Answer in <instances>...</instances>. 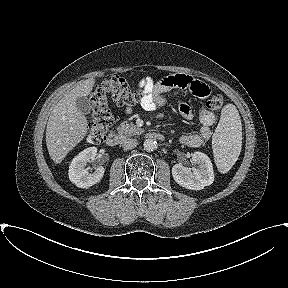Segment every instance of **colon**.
Wrapping results in <instances>:
<instances>
[{
	"label": "colon",
	"mask_w": 288,
	"mask_h": 288,
	"mask_svg": "<svg viewBox=\"0 0 288 288\" xmlns=\"http://www.w3.org/2000/svg\"><path fill=\"white\" fill-rule=\"evenodd\" d=\"M144 91L133 89L127 81L120 76H111L105 79L91 95L92 121L88 128V141L101 143L105 140L113 116L108 107V100L112 99L118 105L130 107L142 100ZM224 101L220 95H215L208 102V108L220 110Z\"/></svg>",
	"instance_id": "5ec220e1"
}]
</instances>
